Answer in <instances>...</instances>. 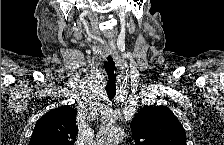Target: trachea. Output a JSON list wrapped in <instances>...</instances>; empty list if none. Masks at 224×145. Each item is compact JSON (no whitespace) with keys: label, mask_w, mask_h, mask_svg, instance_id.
<instances>
[{"label":"trachea","mask_w":224,"mask_h":145,"mask_svg":"<svg viewBox=\"0 0 224 145\" xmlns=\"http://www.w3.org/2000/svg\"><path fill=\"white\" fill-rule=\"evenodd\" d=\"M106 78V93L109 99H113L116 94L117 68L112 58H109L104 64Z\"/></svg>","instance_id":"3493384b"}]
</instances>
